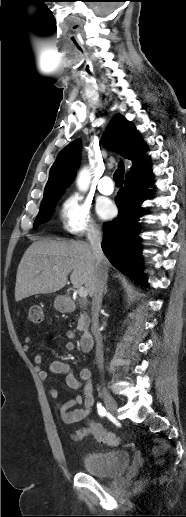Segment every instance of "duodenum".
<instances>
[{"mask_svg": "<svg viewBox=\"0 0 186 517\" xmlns=\"http://www.w3.org/2000/svg\"><path fill=\"white\" fill-rule=\"evenodd\" d=\"M62 301L64 302V309L67 312H74L77 308L76 304L72 302V300L68 297L62 298ZM80 348L83 352H89L92 349L93 346V335L90 331L85 330L83 331L81 337H80Z\"/></svg>", "mask_w": 186, "mask_h": 517, "instance_id": "1", "label": "duodenum"}]
</instances>
